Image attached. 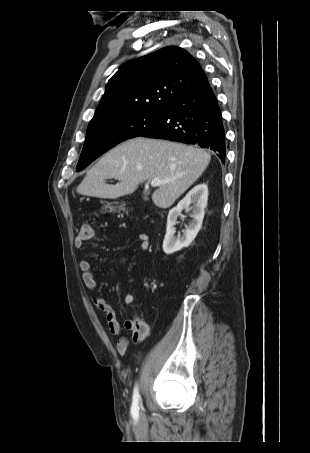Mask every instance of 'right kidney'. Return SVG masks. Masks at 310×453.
<instances>
[{"mask_svg": "<svg viewBox=\"0 0 310 453\" xmlns=\"http://www.w3.org/2000/svg\"><path fill=\"white\" fill-rule=\"evenodd\" d=\"M208 187L207 184L201 183L192 188L187 195L178 203V205L169 211L167 217L166 235L163 241V251L166 254H172L188 247L194 240L202 226L204 218V209L207 206ZM190 205H192L190 207ZM192 209V221L189 223L182 236H175V227L177 217L182 210Z\"/></svg>", "mask_w": 310, "mask_h": 453, "instance_id": "ca27d5eb", "label": "right kidney"}]
</instances>
